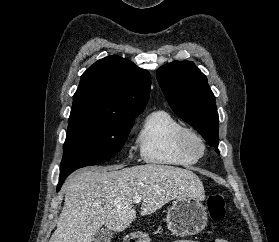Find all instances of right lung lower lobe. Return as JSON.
Here are the masks:
<instances>
[{
  "label": "right lung lower lobe",
  "mask_w": 279,
  "mask_h": 242,
  "mask_svg": "<svg viewBox=\"0 0 279 242\" xmlns=\"http://www.w3.org/2000/svg\"><path fill=\"white\" fill-rule=\"evenodd\" d=\"M64 180H65V178L59 180V183H58V185H57V191H59V189H60V187H61V185H62V183H63Z\"/></svg>",
  "instance_id": "98d812e1"
}]
</instances>
